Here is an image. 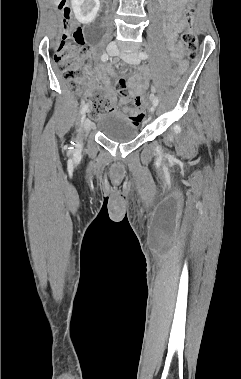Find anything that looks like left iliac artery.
Masks as SVG:
<instances>
[{"mask_svg": "<svg viewBox=\"0 0 241 379\" xmlns=\"http://www.w3.org/2000/svg\"><path fill=\"white\" fill-rule=\"evenodd\" d=\"M139 56H140L141 59H147L148 58L147 53L146 52H142V51L139 52ZM158 103H159L158 98L154 97V95H153V105L157 106Z\"/></svg>", "mask_w": 241, "mask_h": 379, "instance_id": "44dca946", "label": "left iliac artery"}]
</instances>
